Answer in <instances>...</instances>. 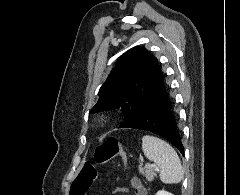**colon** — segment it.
I'll return each mask as SVG.
<instances>
[{
	"instance_id": "colon-1",
	"label": "colon",
	"mask_w": 240,
	"mask_h": 195,
	"mask_svg": "<svg viewBox=\"0 0 240 195\" xmlns=\"http://www.w3.org/2000/svg\"><path fill=\"white\" fill-rule=\"evenodd\" d=\"M116 155L120 157L121 160L127 159V153L125 150L121 149V145L115 138H108L104 141L103 144H101L95 152V158L97 162L103 163L111 160ZM86 173L89 176H93V172L90 168L86 169ZM77 191H82V186L76 187ZM73 195H80V192H73Z\"/></svg>"
}]
</instances>
